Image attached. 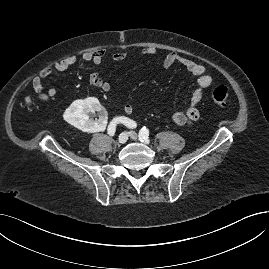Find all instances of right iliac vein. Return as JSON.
<instances>
[{
  "label": "right iliac vein",
  "instance_id": "obj_1",
  "mask_svg": "<svg viewBox=\"0 0 269 269\" xmlns=\"http://www.w3.org/2000/svg\"><path fill=\"white\" fill-rule=\"evenodd\" d=\"M127 139H128V134H127V132H123V133H121V134L119 135L118 142H119L120 144H124V143L127 141Z\"/></svg>",
  "mask_w": 269,
  "mask_h": 269
}]
</instances>
